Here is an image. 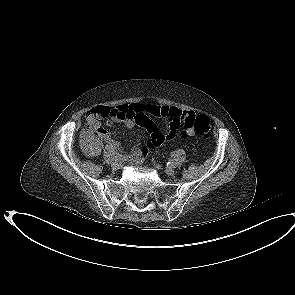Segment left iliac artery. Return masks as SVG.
<instances>
[{
  "label": "left iliac artery",
  "instance_id": "44dca946",
  "mask_svg": "<svg viewBox=\"0 0 295 295\" xmlns=\"http://www.w3.org/2000/svg\"><path fill=\"white\" fill-rule=\"evenodd\" d=\"M167 166H169V167H174L175 164H174V162H171V161H170V162L167 163Z\"/></svg>",
  "mask_w": 295,
  "mask_h": 295
}]
</instances>
